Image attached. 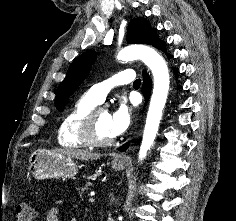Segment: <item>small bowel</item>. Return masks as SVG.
I'll return each instance as SVG.
<instances>
[{"instance_id":"obj_1","label":"small bowel","mask_w":236,"mask_h":221,"mask_svg":"<svg viewBox=\"0 0 236 221\" xmlns=\"http://www.w3.org/2000/svg\"><path fill=\"white\" fill-rule=\"evenodd\" d=\"M45 221H59V208L53 207L45 212Z\"/></svg>"}]
</instances>
